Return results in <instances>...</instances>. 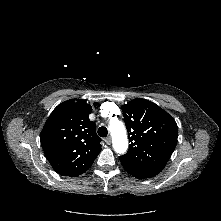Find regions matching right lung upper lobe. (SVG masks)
Masks as SVG:
<instances>
[{
	"instance_id": "obj_1",
	"label": "right lung upper lobe",
	"mask_w": 221,
	"mask_h": 221,
	"mask_svg": "<svg viewBox=\"0 0 221 221\" xmlns=\"http://www.w3.org/2000/svg\"><path fill=\"white\" fill-rule=\"evenodd\" d=\"M91 112L84 100H68L53 110L43 127L40 141L44 153L63 176L86 172L101 151L96 124L88 117Z\"/></svg>"
}]
</instances>
